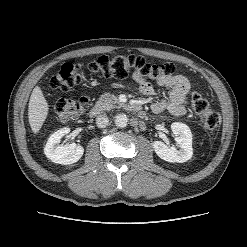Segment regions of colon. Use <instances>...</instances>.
Wrapping results in <instances>:
<instances>
[{
  "label": "colon",
  "mask_w": 247,
  "mask_h": 247,
  "mask_svg": "<svg viewBox=\"0 0 247 247\" xmlns=\"http://www.w3.org/2000/svg\"><path fill=\"white\" fill-rule=\"evenodd\" d=\"M168 65H156L147 62L141 56H101L89 64L91 74L100 78L123 79L130 72L138 73L143 78L158 80L168 74ZM84 79L82 67L79 64L65 63L53 75L50 85L53 89L68 92ZM192 110L204 118L208 129H215L221 124V116L210 109L208 102L198 93L190 98ZM89 106L86 96L79 98H60L54 105L56 114L63 120L78 118Z\"/></svg>",
  "instance_id": "1"
}]
</instances>
